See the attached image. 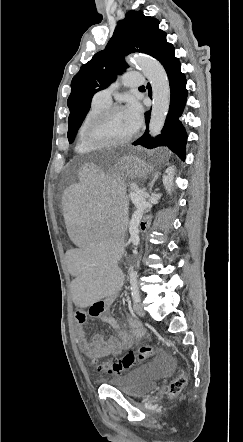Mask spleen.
Wrapping results in <instances>:
<instances>
[{"label": "spleen", "mask_w": 243, "mask_h": 442, "mask_svg": "<svg viewBox=\"0 0 243 442\" xmlns=\"http://www.w3.org/2000/svg\"><path fill=\"white\" fill-rule=\"evenodd\" d=\"M128 165H97L85 163L79 170V183H71L68 193H62L66 202V219L71 242H76L79 253L72 254L70 268L77 274L71 287L76 307H94L103 296H119L126 291L119 258H122L121 239L125 237L127 214L126 194L132 190L134 178H150L146 165H135L130 175ZM110 192V193H90ZM108 219H114L108 222Z\"/></svg>", "instance_id": "1"}]
</instances>
